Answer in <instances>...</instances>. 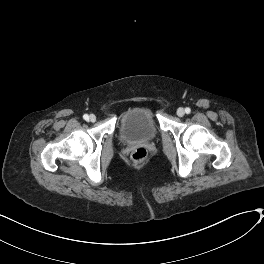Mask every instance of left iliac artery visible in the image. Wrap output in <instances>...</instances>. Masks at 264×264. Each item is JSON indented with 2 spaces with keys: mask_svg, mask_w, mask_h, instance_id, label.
Segmentation results:
<instances>
[{
  "mask_svg": "<svg viewBox=\"0 0 264 264\" xmlns=\"http://www.w3.org/2000/svg\"><path fill=\"white\" fill-rule=\"evenodd\" d=\"M185 112H186L187 114H190L191 109L187 107V108H185Z\"/></svg>",
  "mask_w": 264,
  "mask_h": 264,
  "instance_id": "1",
  "label": "left iliac artery"
}]
</instances>
